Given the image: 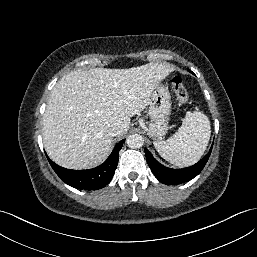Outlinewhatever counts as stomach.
Returning <instances> with one entry per match:
<instances>
[{
	"label": "stomach",
	"instance_id": "obj_1",
	"mask_svg": "<svg viewBox=\"0 0 257 257\" xmlns=\"http://www.w3.org/2000/svg\"><path fill=\"white\" fill-rule=\"evenodd\" d=\"M171 97L168 87L158 84L149 98L148 115L151 119L148 134L151 138H161L168 131V119L171 112Z\"/></svg>",
	"mask_w": 257,
	"mask_h": 257
}]
</instances>
